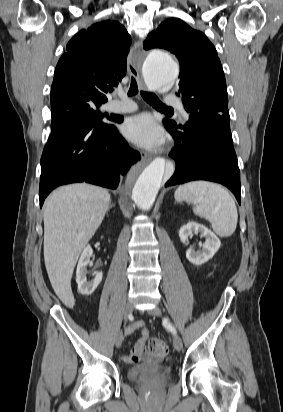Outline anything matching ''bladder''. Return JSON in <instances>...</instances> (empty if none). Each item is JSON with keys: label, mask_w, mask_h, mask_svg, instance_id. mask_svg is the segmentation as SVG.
I'll list each match as a JSON object with an SVG mask.
<instances>
[{"label": "bladder", "mask_w": 283, "mask_h": 412, "mask_svg": "<svg viewBox=\"0 0 283 412\" xmlns=\"http://www.w3.org/2000/svg\"><path fill=\"white\" fill-rule=\"evenodd\" d=\"M154 373L167 379L171 377L172 371L169 366L163 363L139 364L127 370V376L132 382H139L145 374Z\"/></svg>", "instance_id": "obj_1"}]
</instances>
